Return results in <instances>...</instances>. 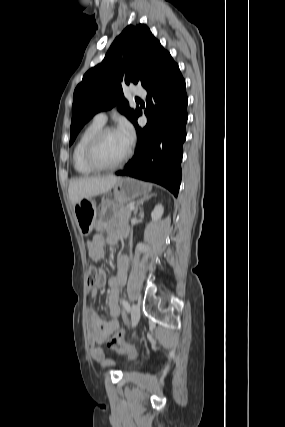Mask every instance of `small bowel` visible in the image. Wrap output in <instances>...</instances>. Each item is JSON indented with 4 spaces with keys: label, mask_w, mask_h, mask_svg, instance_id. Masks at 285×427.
I'll return each mask as SVG.
<instances>
[{
    "label": "small bowel",
    "mask_w": 285,
    "mask_h": 427,
    "mask_svg": "<svg viewBox=\"0 0 285 427\" xmlns=\"http://www.w3.org/2000/svg\"><path fill=\"white\" fill-rule=\"evenodd\" d=\"M109 242L114 240V235L108 239ZM105 238L101 234H95L88 242L89 256L100 261L104 257ZM128 271V259L123 257L118 264V273L116 276L108 280L110 293L108 295L106 306L110 319L108 321L101 320L99 314L90 309L88 312V341L90 345V353L92 358L102 364L107 363L104 345L112 334L120 328V307L118 299L121 287L123 286ZM106 283V273L103 269L98 271L96 285L88 290L89 298H95L98 290Z\"/></svg>",
    "instance_id": "1"
}]
</instances>
